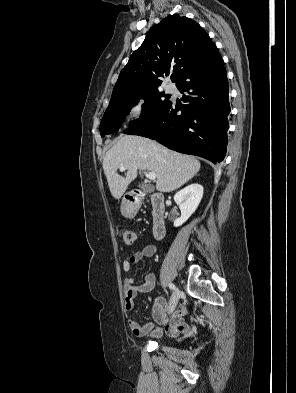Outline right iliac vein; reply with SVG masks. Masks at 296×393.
Segmentation results:
<instances>
[{"mask_svg":"<svg viewBox=\"0 0 296 393\" xmlns=\"http://www.w3.org/2000/svg\"><path fill=\"white\" fill-rule=\"evenodd\" d=\"M178 300H179V290L176 289L170 301V306H169L170 311H173L176 308Z\"/></svg>","mask_w":296,"mask_h":393,"instance_id":"63e3f726","label":"right iliac vein"}]
</instances>
